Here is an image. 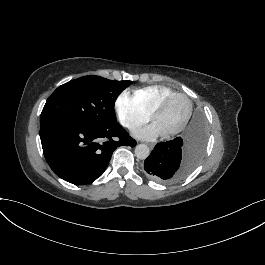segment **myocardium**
<instances>
[{"mask_svg": "<svg viewBox=\"0 0 265 265\" xmlns=\"http://www.w3.org/2000/svg\"><path fill=\"white\" fill-rule=\"evenodd\" d=\"M175 97H179L182 98L185 102V113L184 116L182 118V120L180 121V123L178 125H176L174 128L163 132L164 135L169 136V135H174L177 134L179 132H181L187 125L190 116H191V112H192V104L191 101L183 94L181 93H176V92H172L169 93L168 95L164 96L163 98H161L154 106L153 110H152V121L153 123H155V119L157 116V113L159 112V110L165 106V104L171 100L172 98Z\"/></svg>", "mask_w": 265, "mask_h": 265, "instance_id": "myocardium-1", "label": "myocardium"}]
</instances>
